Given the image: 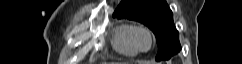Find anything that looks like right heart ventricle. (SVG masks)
<instances>
[{
  "label": "right heart ventricle",
  "mask_w": 242,
  "mask_h": 64,
  "mask_svg": "<svg viewBox=\"0 0 242 64\" xmlns=\"http://www.w3.org/2000/svg\"><path fill=\"white\" fill-rule=\"evenodd\" d=\"M133 25L123 23L115 27L112 33L111 44L113 48L120 54L125 56H136L138 51L131 42V31Z\"/></svg>",
  "instance_id": "e07e8e85"
}]
</instances>
